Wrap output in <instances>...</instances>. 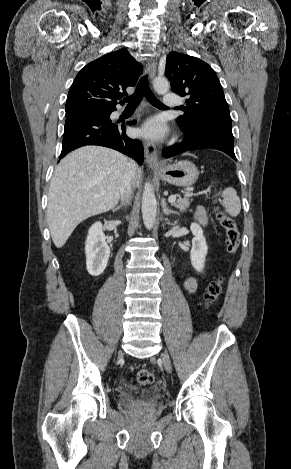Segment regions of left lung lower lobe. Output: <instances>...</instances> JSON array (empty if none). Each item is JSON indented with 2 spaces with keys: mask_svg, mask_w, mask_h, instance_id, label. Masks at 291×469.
<instances>
[{
  "mask_svg": "<svg viewBox=\"0 0 291 469\" xmlns=\"http://www.w3.org/2000/svg\"><path fill=\"white\" fill-rule=\"evenodd\" d=\"M184 132L186 135L180 144L163 150V156L165 158L173 157L190 150L213 148L223 151L236 160L233 148L232 129L209 126Z\"/></svg>",
  "mask_w": 291,
  "mask_h": 469,
  "instance_id": "1",
  "label": "left lung lower lobe"
}]
</instances>
